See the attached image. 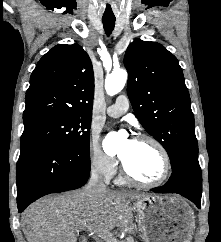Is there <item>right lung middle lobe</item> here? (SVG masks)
Returning a JSON list of instances; mask_svg holds the SVG:
<instances>
[{
	"mask_svg": "<svg viewBox=\"0 0 221 242\" xmlns=\"http://www.w3.org/2000/svg\"><path fill=\"white\" fill-rule=\"evenodd\" d=\"M90 127V116L46 119L25 125L21 140L47 139L70 148L89 151Z\"/></svg>",
	"mask_w": 221,
	"mask_h": 242,
	"instance_id": "obj_1",
	"label": "right lung middle lobe"
}]
</instances>
